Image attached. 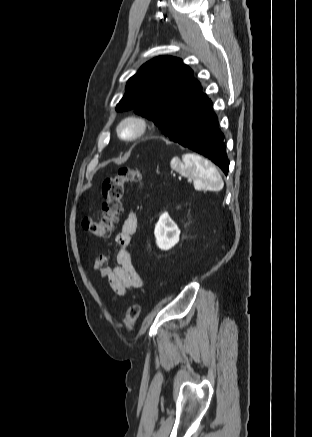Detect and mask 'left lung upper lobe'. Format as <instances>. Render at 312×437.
Here are the masks:
<instances>
[{
  "mask_svg": "<svg viewBox=\"0 0 312 437\" xmlns=\"http://www.w3.org/2000/svg\"><path fill=\"white\" fill-rule=\"evenodd\" d=\"M208 97L193 71L179 58L156 57L129 79L117 111L134 109L151 119L170 140L177 136L204 106Z\"/></svg>",
  "mask_w": 312,
  "mask_h": 437,
  "instance_id": "1",
  "label": "left lung upper lobe"
}]
</instances>
